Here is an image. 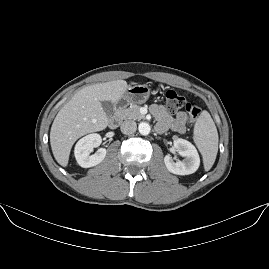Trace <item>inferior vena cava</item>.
I'll use <instances>...</instances> for the list:
<instances>
[{
	"label": "inferior vena cava",
	"mask_w": 269,
	"mask_h": 269,
	"mask_svg": "<svg viewBox=\"0 0 269 269\" xmlns=\"http://www.w3.org/2000/svg\"><path fill=\"white\" fill-rule=\"evenodd\" d=\"M136 128V122L133 120H125L120 127L123 134H132L136 131Z\"/></svg>",
	"instance_id": "obj_1"
}]
</instances>
